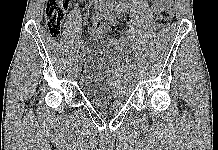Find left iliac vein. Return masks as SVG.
<instances>
[{"mask_svg":"<svg viewBox=\"0 0 218 150\" xmlns=\"http://www.w3.org/2000/svg\"><path fill=\"white\" fill-rule=\"evenodd\" d=\"M130 74H131L130 76H131L132 78L135 76V75H134L135 73H134L133 71H132Z\"/></svg>","mask_w":218,"mask_h":150,"instance_id":"obj_1","label":"left iliac vein"}]
</instances>
